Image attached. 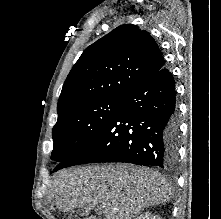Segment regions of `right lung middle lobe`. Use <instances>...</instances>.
Segmentation results:
<instances>
[{"label": "right lung middle lobe", "mask_w": 221, "mask_h": 219, "mask_svg": "<svg viewBox=\"0 0 221 219\" xmlns=\"http://www.w3.org/2000/svg\"><path fill=\"white\" fill-rule=\"evenodd\" d=\"M121 98H102L78 104L58 117L53 127V161L62 163L83 149L105 126Z\"/></svg>", "instance_id": "obj_1"}]
</instances>
